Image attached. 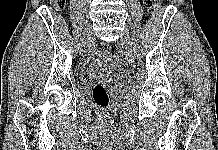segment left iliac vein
<instances>
[{
    "instance_id": "obj_1",
    "label": "left iliac vein",
    "mask_w": 218,
    "mask_h": 150,
    "mask_svg": "<svg viewBox=\"0 0 218 150\" xmlns=\"http://www.w3.org/2000/svg\"><path fill=\"white\" fill-rule=\"evenodd\" d=\"M124 41L126 43H128V45H130V41H129V35L127 34L126 36H124Z\"/></svg>"
}]
</instances>
